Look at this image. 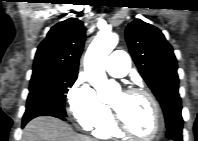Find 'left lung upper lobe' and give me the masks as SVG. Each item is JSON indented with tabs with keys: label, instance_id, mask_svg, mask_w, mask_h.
Here are the masks:
<instances>
[{
	"label": "left lung upper lobe",
	"instance_id": "obj_1",
	"mask_svg": "<svg viewBox=\"0 0 198 141\" xmlns=\"http://www.w3.org/2000/svg\"><path fill=\"white\" fill-rule=\"evenodd\" d=\"M130 54L162 107L167 130L182 128L177 60L171 45L153 25L136 19L125 31Z\"/></svg>",
	"mask_w": 198,
	"mask_h": 141
}]
</instances>
